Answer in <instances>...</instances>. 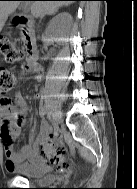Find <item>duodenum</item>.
Wrapping results in <instances>:
<instances>
[{"mask_svg": "<svg viewBox=\"0 0 137 189\" xmlns=\"http://www.w3.org/2000/svg\"><path fill=\"white\" fill-rule=\"evenodd\" d=\"M13 27L21 31L22 41L25 45V50L28 55V63L31 69H37L38 52L36 46V39L34 34L35 22L26 16H17L12 21Z\"/></svg>", "mask_w": 137, "mask_h": 189, "instance_id": "duodenum-1", "label": "duodenum"}]
</instances>
